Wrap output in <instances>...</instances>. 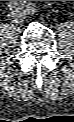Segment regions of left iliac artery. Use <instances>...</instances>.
Returning a JSON list of instances; mask_svg holds the SVG:
<instances>
[{"label":"left iliac artery","instance_id":"44dca946","mask_svg":"<svg viewBox=\"0 0 74 122\" xmlns=\"http://www.w3.org/2000/svg\"><path fill=\"white\" fill-rule=\"evenodd\" d=\"M35 10H36L35 6L29 4V5H28V8H27V10H26V12H27L28 14H33V13H35Z\"/></svg>","mask_w":74,"mask_h":122}]
</instances>
